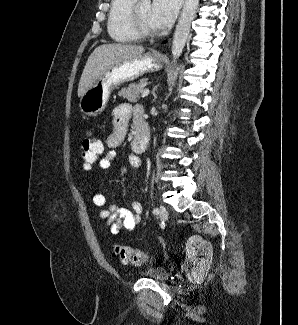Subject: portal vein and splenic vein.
Here are the masks:
<instances>
[{"mask_svg":"<svg viewBox=\"0 0 298 325\" xmlns=\"http://www.w3.org/2000/svg\"><path fill=\"white\" fill-rule=\"evenodd\" d=\"M149 92H150V88H143L141 92V98H145V96H148Z\"/></svg>","mask_w":298,"mask_h":325,"instance_id":"18ae733b","label":"portal vein and splenic vein"}]
</instances>
